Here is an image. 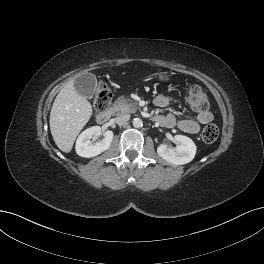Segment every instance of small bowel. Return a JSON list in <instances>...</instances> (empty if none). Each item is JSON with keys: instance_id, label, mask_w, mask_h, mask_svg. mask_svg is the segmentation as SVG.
<instances>
[{"instance_id": "small-bowel-1", "label": "small bowel", "mask_w": 264, "mask_h": 264, "mask_svg": "<svg viewBox=\"0 0 264 264\" xmlns=\"http://www.w3.org/2000/svg\"><path fill=\"white\" fill-rule=\"evenodd\" d=\"M171 97L165 94H159L154 99V104L157 107L165 108L170 105ZM213 120V115L210 111L198 113L195 118L178 120L174 114L158 115L156 121L162 126L168 128L177 127L181 131L189 134H197L202 125Z\"/></svg>"}]
</instances>
